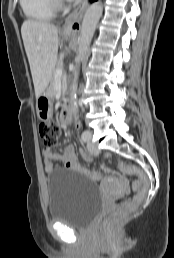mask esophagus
Instances as JSON below:
<instances>
[{
    "mask_svg": "<svg viewBox=\"0 0 174 258\" xmlns=\"http://www.w3.org/2000/svg\"><path fill=\"white\" fill-rule=\"evenodd\" d=\"M87 5L88 0H81L79 5L69 14L62 26L63 33H77L80 30V22Z\"/></svg>",
    "mask_w": 174,
    "mask_h": 258,
    "instance_id": "obj_1",
    "label": "esophagus"
}]
</instances>
